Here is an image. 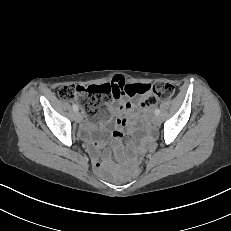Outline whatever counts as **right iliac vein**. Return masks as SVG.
<instances>
[{
  "label": "right iliac vein",
  "instance_id": "obj_1",
  "mask_svg": "<svg viewBox=\"0 0 231 231\" xmlns=\"http://www.w3.org/2000/svg\"><path fill=\"white\" fill-rule=\"evenodd\" d=\"M83 117L80 112H75V121L80 123L82 121Z\"/></svg>",
  "mask_w": 231,
  "mask_h": 231
}]
</instances>
